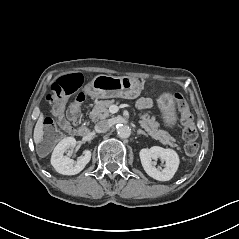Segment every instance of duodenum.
Wrapping results in <instances>:
<instances>
[{
  "label": "duodenum",
  "instance_id": "obj_1",
  "mask_svg": "<svg viewBox=\"0 0 239 239\" xmlns=\"http://www.w3.org/2000/svg\"><path fill=\"white\" fill-rule=\"evenodd\" d=\"M89 130L86 126H80L78 129V135L79 136H86L88 134Z\"/></svg>",
  "mask_w": 239,
  "mask_h": 239
}]
</instances>
